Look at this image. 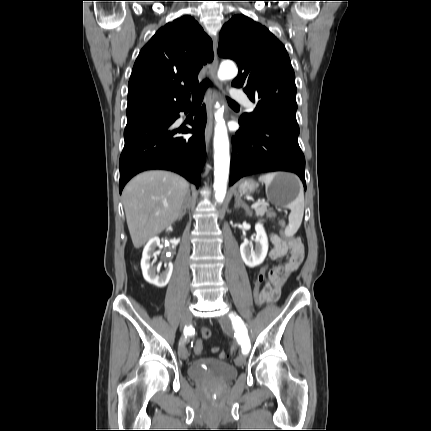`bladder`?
<instances>
[{"label": "bladder", "mask_w": 431, "mask_h": 431, "mask_svg": "<svg viewBox=\"0 0 431 431\" xmlns=\"http://www.w3.org/2000/svg\"><path fill=\"white\" fill-rule=\"evenodd\" d=\"M188 375L198 382L224 384L233 381L238 371L225 361L205 358L194 361L188 368Z\"/></svg>", "instance_id": "bladder-1"}]
</instances>
